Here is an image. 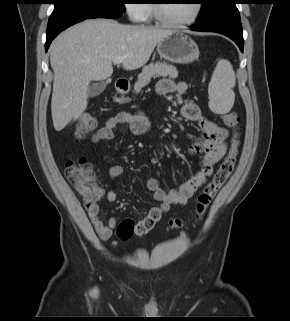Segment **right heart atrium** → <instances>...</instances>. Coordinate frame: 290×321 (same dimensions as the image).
Wrapping results in <instances>:
<instances>
[{"instance_id": "right-heart-atrium-1", "label": "right heart atrium", "mask_w": 290, "mask_h": 321, "mask_svg": "<svg viewBox=\"0 0 290 321\" xmlns=\"http://www.w3.org/2000/svg\"><path fill=\"white\" fill-rule=\"evenodd\" d=\"M125 12L133 22H139L144 19V7L141 3H137V0H127L125 3Z\"/></svg>"}]
</instances>
